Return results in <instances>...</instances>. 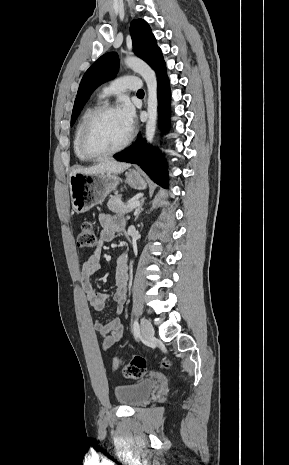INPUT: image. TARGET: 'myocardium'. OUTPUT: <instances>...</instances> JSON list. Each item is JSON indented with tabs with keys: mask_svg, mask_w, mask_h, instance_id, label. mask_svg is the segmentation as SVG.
<instances>
[{
	"mask_svg": "<svg viewBox=\"0 0 289 465\" xmlns=\"http://www.w3.org/2000/svg\"><path fill=\"white\" fill-rule=\"evenodd\" d=\"M111 111H117V108L115 106L107 105V104L101 105L95 108L91 112V114L88 116V118L86 119L83 125L80 146H81V151L84 154V156L90 160H96V159H101L104 157L115 155L123 151L124 149H126L132 141V135L129 134L127 139L116 148L105 150V151H97L93 148L92 135H93L94 126L96 122L98 121V119L103 114L107 112H111Z\"/></svg>",
	"mask_w": 289,
	"mask_h": 465,
	"instance_id": "1",
	"label": "myocardium"
}]
</instances>
